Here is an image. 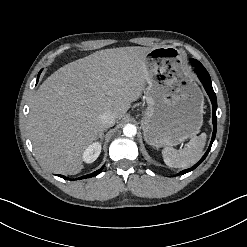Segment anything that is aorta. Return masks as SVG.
Returning a JSON list of instances; mask_svg holds the SVG:
<instances>
[{
  "mask_svg": "<svg viewBox=\"0 0 247 247\" xmlns=\"http://www.w3.org/2000/svg\"><path fill=\"white\" fill-rule=\"evenodd\" d=\"M123 133H124V135L127 136V137H133V136H135L136 133H137V128H136V126L133 125V124H127V125H125L124 128H123Z\"/></svg>",
  "mask_w": 247,
  "mask_h": 247,
  "instance_id": "obj_1",
  "label": "aorta"
}]
</instances>
